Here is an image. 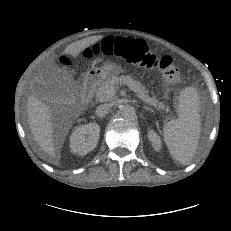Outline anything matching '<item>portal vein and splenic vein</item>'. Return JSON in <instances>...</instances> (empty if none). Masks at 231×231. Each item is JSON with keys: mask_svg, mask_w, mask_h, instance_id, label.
I'll return each instance as SVG.
<instances>
[{"mask_svg": "<svg viewBox=\"0 0 231 231\" xmlns=\"http://www.w3.org/2000/svg\"><path fill=\"white\" fill-rule=\"evenodd\" d=\"M110 91L112 92V93H115V88H112V89H110Z\"/></svg>", "mask_w": 231, "mask_h": 231, "instance_id": "portal-vein-and-splenic-vein-1", "label": "portal vein and splenic vein"}]
</instances>
